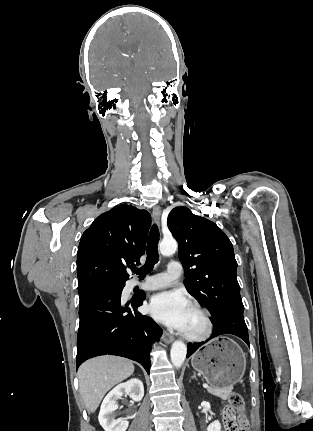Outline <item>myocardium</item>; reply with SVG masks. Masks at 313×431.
Returning <instances> with one entry per match:
<instances>
[{
    "mask_svg": "<svg viewBox=\"0 0 313 431\" xmlns=\"http://www.w3.org/2000/svg\"><path fill=\"white\" fill-rule=\"evenodd\" d=\"M191 308L194 309L195 311H197L202 316L205 326H204V329L202 332L196 333V334L184 332L183 337L186 340L193 341V342L204 341V340L208 339L214 331L213 318H212L210 312L206 308L201 306L200 304L193 303L191 305Z\"/></svg>",
    "mask_w": 313,
    "mask_h": 431,
    "instance_id": "f54148a6",
    "label": "myocardium"
}]
</instances>
